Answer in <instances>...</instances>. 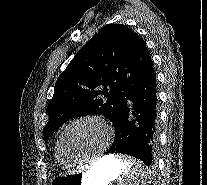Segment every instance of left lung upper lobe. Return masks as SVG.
Here are the masks:
<instances>
[{"instance_id": "1", "label": "left lung upper lobe", "mask_w": 207, "mask_h": 185, "mask_svg": "<svg viewBox=\"0 0 207 185\" xmlns=\"http://www.w3.org/2000/svg\"><path fill=\"white\" fill-rule=\"evenodd\" d=\"M153 67L141 37L122 24L102 27L58 77L48 104L45 142L66 121L86 115L117 119L131 87Z\"/></svg>"}]
</instances>
